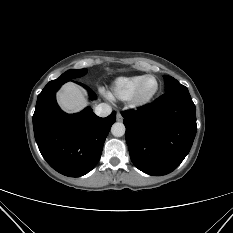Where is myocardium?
Listing matches in <instances>:
<instances>
[{
	"mask_svg": "<svg viewBox=\"0 0 233 233\" xmlns=\"http://www.w3.org/2000/svg\"><path fill=\"white\" fill-rule=\"evenodd\" d=\"M151 78L155 80L156 87L150 95L143 97L141 95V90H142L143 84L145 83L146 80L151 79ZM158 91H159L158 79L153 75H145V77L139 82L133 95L129 99L131 106L136 108V109L143 108V107L147 106L155 98Z\"/></svg>",
	"mask_w": 233,
	"mask_h": 233,
	"instance_id": "1",
	"label": "myocardium"
}]
</instances>
